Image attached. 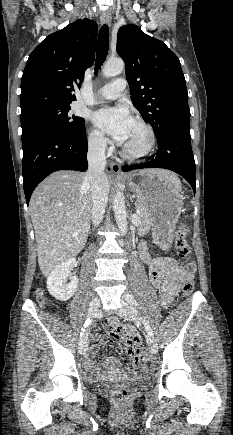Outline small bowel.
<instances>
[{"label": "small bowel", "instance_id": "obj_1", "mask_svg": "<svg viewBox=\"0 0 233 435\" xmlns=\"http://www.w3.org/2000/svg\"><path fill=\"white\" fill-rule=\"evenodd\" d=\"M141 259L147 264L149 270L150 284L160 290V305L162 308L170 307L180 288L182 281L192 278V274L186 271L175 260L166 258L150 259L144 246H140ZM104 334L97 335L96 342L91 348L89 357L86 359L85 367L87 377L95 379V375H116L123 374L128 376L139 377L146 373V357L138 356L133 348L126 346L127 341H131L133 346L141 344L135 327L122 325L115 321L108 320L103 324ZM113 340L122 341L124 350L132 358V366L126 367L113 356H106L101 360L100 366H97L95 355L102 346L112 344Z\"/></svg>", "mask_w": 233, "mask_h": 435}]
</instances>
